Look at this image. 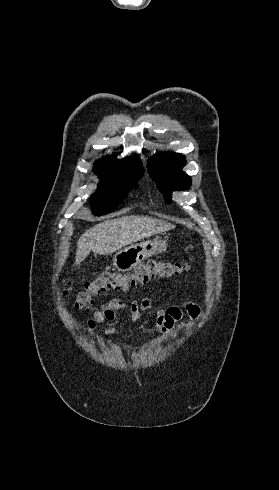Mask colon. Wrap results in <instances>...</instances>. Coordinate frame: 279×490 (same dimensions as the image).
Segmentation results:
<instances>
[{
  "label": "colon",
  "instance_id": "1",
  "mask_svg": "<svg viewBox=\"0 0 279 490\" xmlns=\"http://www.w3.org/2000/svg\"><path fill=\"white\" fill-rule=\"evenodd\" d=\"M190 267L187 262H171L167 260H147L139 264L133 271L119 272L107 271L86 283L85 288L76 297V305L80 309H89L93 297L109 289H128L149 281L154 277H171L179 275ZM59 292L63 295L69 293L72 284L68 280L60 279Z\"/></svg>",
  "mask_w": 279,
  "mask_h": 490
}]
</instances>
